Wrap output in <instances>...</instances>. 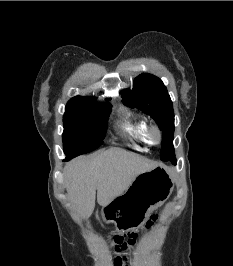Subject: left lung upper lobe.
I'll return each mask as SVG.
<instances>
[{"mask_svg":"<svg viewBox=\"0 0 233 266\" xmlns=\"http://www.w3.org/2000/svg\"><path fill=\"white\" fill-rule=\"evenodd\" d=\"M124 103L149 114L163 132L160 156L163 161L174 155L173 105L163 82L156 76L143 73L136 77L132 90H123Z\"/></svg>","mask_w":233,"mask_h":266,"instance_id":"obj_1","label":"left lung upper lobe"}]
</instances>
